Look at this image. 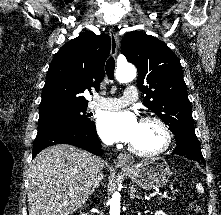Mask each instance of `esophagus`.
Masks as SVG:
<instances>
[{"label": "esophagus", "mask_w": 221, "mask_h": 215, "mask_svg": "<svg viewBox=\"0 0 221 215\" xmlns=\"http://www.w3.org/2000/svg\"><path fill=\"white\" fill-rule=\"evenodd\" d=\"M109 36L111 39V56L116 57L119 48V41L112 28L109 30ZM117 162L120 167L128 168L133 164L134 158L129 154L120 153L117 156Z\"/></svg>", "instance_id": "1"}]
</instances>
